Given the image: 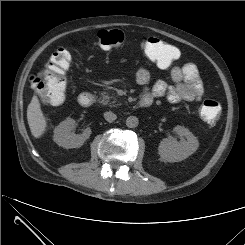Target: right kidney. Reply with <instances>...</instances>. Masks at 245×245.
<instances>
[{
    "instance_id": "ca27d5eb",
    "label": "right kidney",
    "mask_w": 245,
    "mask_h": 245,
    "mask_svg": "<svg viewBox=\"0 0 245 245\" xmlns=\"http://www.w3.org/2000/svg\"><path fill=\"white\" fill-rule=\"evenodd\" d=\"M77 127L75 120L68 118L61 122L54 130L53 140L61 147L79 148L90 137L91 129L87 127L82 134H75L74 130Z\"/></svg>"
}]
</instances>
